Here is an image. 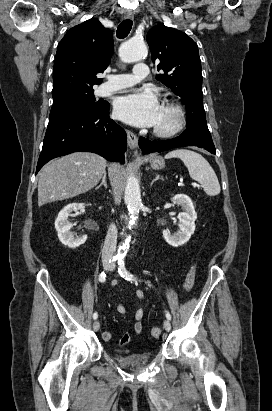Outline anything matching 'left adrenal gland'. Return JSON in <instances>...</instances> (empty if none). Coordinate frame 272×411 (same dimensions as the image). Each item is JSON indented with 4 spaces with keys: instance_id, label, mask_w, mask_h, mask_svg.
I'll use <instances>...</instances> for the list:
<instances>
[{
    "instance_id": "left-adrenal-gland-1",
    "label": "left adrenal gland",
    "mask_w": 272,
    "mask_h": 411,
    "mask_svg": "<svg viewBox=\"0 0 272 411\" xmlns=\"http://www.w3.org/2000/svg\"><path fill=\"white\" fill-rule=\"evenodd\" d=\"M159 179H162V180H163V177L160 176V174H156L155 178H154V179L152 180V182H151V185H152L156 180H159Z\"/></svg>"
}]
</instances>
